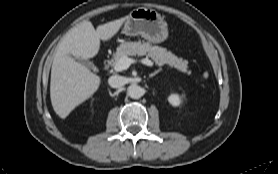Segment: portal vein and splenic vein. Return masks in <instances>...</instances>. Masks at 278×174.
<instances>
[{
    "instance_id": "1",
    "label": "portal vein and splenic vein",
    "mask_w": 278,
    "mask_h": 174,
    "mask_svg": "<svg viewBox=\"0 0 278 174\" xmlns=\"http://www.w3.org/2000/svg\"><path fill=\"white\" fill-rule=\"evenodd\" d=\"M138 61L136 59L133 58H129V57H122L115 65H114V70L117 72L126 70L129 68V66L133 63H137ZM140 63L147 65L149 67H152L154 64L151 60H149L148 58H143L141 60H139Z\"/></svg>"
}]
</instances>
